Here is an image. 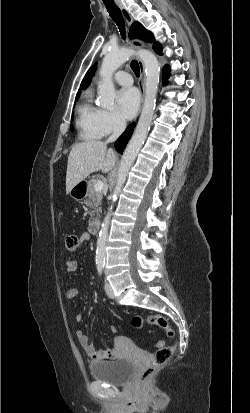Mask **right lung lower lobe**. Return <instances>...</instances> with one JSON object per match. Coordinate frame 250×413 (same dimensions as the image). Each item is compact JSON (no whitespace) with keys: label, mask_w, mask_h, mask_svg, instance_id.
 Returning a JSON list of instances; mask_svg holds the SVG:
<instances>
[{"label":"right lung lower lobe","mask_w":250,"mask_h":413,"mask_svg":"<svg viewBox=\"0 0 250 413\" xmlns=\"http://www.w3.org/2000/svg\"><path fill=\"white\" fill-rule=\"evenodd\" d=\"M135 127V123L133 122L130 124L127 129L124 131V133L119 137V139L115 143V147L119 153H122L123 150L126 147V144L128 143L129 139L131 138V135L133 133Z\"/></svg>","instance_id":"98d812e1"}]
</instances>
